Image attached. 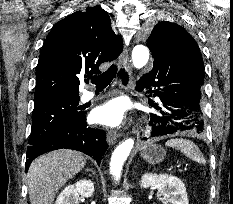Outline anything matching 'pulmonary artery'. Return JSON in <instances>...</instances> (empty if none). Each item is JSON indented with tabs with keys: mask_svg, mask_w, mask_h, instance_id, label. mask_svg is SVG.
<instances>
[{
	"mask_svg": "<svg viewBox=\"0 0 233 204\" xmlns=\"http://www.w3.org/2000/svg\"><path fill=\"white\" fill-rule=\"evenodd\" d=\"M95 96L94 92H91V91H85L82 93L81 97H80V100L82 102H87V101H90L91 99H93Z\"/></svg>",
	"mask_w": 233,
	"mask_h": 204,
	"instance_id": "obj_1",
	"label": "pulmonary artery"
}]
</instances>
